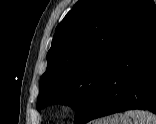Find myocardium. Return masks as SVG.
I'll return each instance as SVG.
<instances>
[{
  "mask_svg": "<svg viewBox=\"0 0 156 124\" xmlns=\"http://www.w3.org/2000/svg\"><path fill=\"white\" fill-rule=\"evenodd\" d=\"M81 102L74 97H64L57 104L58 111L63 115H73L81 110Z\"/></svg>",
  "mask_w": 156,
  "mask_h": 124,
  "instance_id": "1",
  "label": "myocardium"
}]
</instances>
